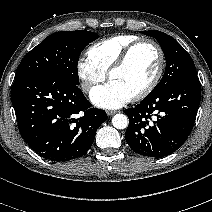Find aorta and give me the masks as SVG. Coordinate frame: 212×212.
Wrapping results in <instances>:
<instances>
[{
  "label": "aorta",
  "mask_w": 212,
  "mask_h": 212,
  "mask_svg": "<svg viewBox=\"0 0 212 212\" xmlns=\"http://www.w3.org/2000/svg\"><path fill=\"white\" fill-rule=\"evenodd\" d=\"M128 118L124 114H116L112 118V125L116 129H125L128 126Z\"/></svg>",
  "instance_id": "762f6f07"
}]
</instances>
